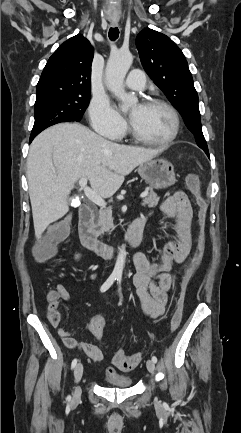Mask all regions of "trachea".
Wrapping results in <instances>:
<instances>
[{"mask_svg":"<svg viewBox=\"0 0 241 433\" xmlns=\"http://www.w3.org/2000/svg\"><path fill=\"white\" fill-rule=\"evenodd\" d=\"M108 35L111 41H115L119 37V29L117 27H111Z\"/></svg>","mask_w":241,"mask_h":433,"instance_id":"obj_1","label":"trachea"}]
</instances>
